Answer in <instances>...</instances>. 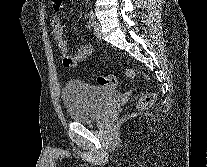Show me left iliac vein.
Masks as SVG:
<instances>
[{
    "label": "left iliac vein",
    "mask_w": 207,
    "mask_h": 167,
    "mask_svg": "<svg viewBox=\"0 0 207 167\" xmlns=\"http://www.w3.org/2000/svg\"><path fill=\"white\" fill-rule=\"evenodd\" d=\"M94 34L95 36L99 39V40H102L103 39V34H102V31H101V26L99 23L95 22L94 24Z\"/></svg>",
    "instance_id": "left-iliac-vein-1"
}]
</instances>
